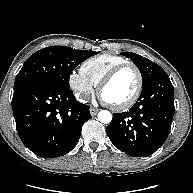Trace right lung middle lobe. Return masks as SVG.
<instances>
[{
    "label": "right lung middle lobe",
    "instance_id": "1",
    "mask_svg": "<svg viewBox=\"0 0 193 193\" xmlns=\"http://www.w3.org/2000/svg\"><path fill=\"white\" fill-rule=\"evenodd\" d=\"M98 53L64 46L43 48L25 61L16 76L14 88L31 82H48L70 88L71 72L80 63Z\"/></svg>",
    "mask_w": 193,
    "mask_h": 193
}]
</instances>
